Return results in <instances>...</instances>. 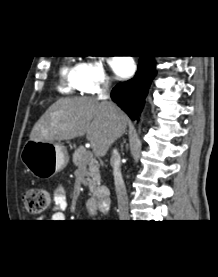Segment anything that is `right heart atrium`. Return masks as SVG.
Returning a JSON list of instances; mask_svg holds the SVG:
<instances>
[{
    "label": "right heart atrium",
    "mask_w": 218,
    "mask_h": 277,
    "mask_svg": "<svg viewBox=\"0 0 218 277\" xmlns=\"http://www.w3.org/2000/svg\"><path fill=\"white\" fill-rule=\"evenodd\" d=\"M109 82V77L100 59L92 58L79 64L77 84L81 92H98L107 88Z\"/></svg>",
    "instance_id": "d8ad5b80"
}]
</instances>
